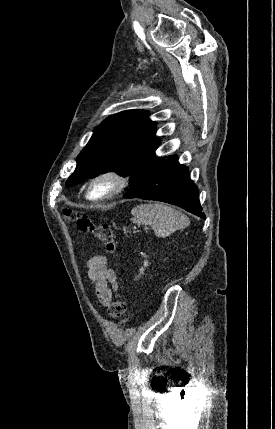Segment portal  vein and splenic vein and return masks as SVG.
Wrapping results in <instances>:
<instances>
[{
	"instance_id": "portal-vein-and-splenic-vein-1",
	"label": "portal vein and splenic vein",
	"mask_w": 275,
	"mask_h": 429,
	"mask_svg": "<svg viewBox=\"0 0 275 429\" xmlns=\"http://www.w3.org/2000/svg\"><path fill=\"white\" fill-rule=\"evenodd\" d=\"M143 230H147V227H144Z\"/></svg>"
}]
</instances>
